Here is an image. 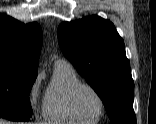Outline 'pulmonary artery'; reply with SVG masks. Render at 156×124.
<instances>
[{"instance_id":"pulmonary-artery-1","label":"pulmonary artery","mask_w":156,"mask_h":124,"mask_svg":"<svg viewBox=\"0 0 156 124\" xmlns=\"http://www.w3.org/2000/svg\"><path fill=\"white\" fill-rule=\"evenodd\" d=\"M59 61H64V60H57L55 63L59 62Z\"/></svg>"}]
</instances>
